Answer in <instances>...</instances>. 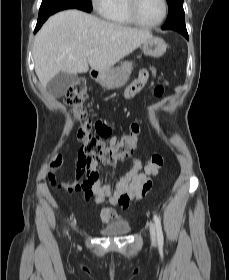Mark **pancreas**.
Returning a JSON list of instances; mask_svg holds the SVG:
<instances>
[{"label":"pancreas","mask_w":229,"mask_h":280,"mask_svg":"<svg viewBox=\"0 0 229 280\" xmlns=\"http://www.w3.org/2000/svg\"><path fill=\"white\" fill-rule=\"evenodd\" d=\"M121 69H124L127 73H130L131 72V64L125 62L121 65Z\"/></svg>","instance_id":"obj_1"}]
</instances>
